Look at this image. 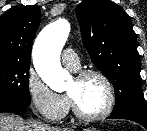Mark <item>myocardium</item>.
Masks as SVG:
<instances>
[{
	"label": "myocardium",
	"mask_w": 147,
	"mask_h": 131,
	"mask_svg": "<svg viewBox=\"0 0 147 131\" xmlns=\"http://www.w3.org/2000/svg\"><path fill=\"white\" fill-rule=\"evenodd\" d=\"M88 77H97L105 85L107 91V103L100 112L95 114H85L79 109L75 99L69 93H67V96L69 98L74 115L80 120L90 122L105 118L112 112L116 102V93H115L114 85L110 80V78L100 70L97 69L82 70L76 74L75 79L83 80Z\"/></svg>",
	"instance_id": "1"
}]
</instances>
